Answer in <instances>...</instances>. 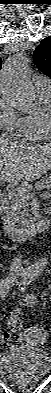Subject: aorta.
<instances>
[{
	"label": "aorta",
	"mask_w": 51,
	"mask_h": 393,
	"mask_svg": "<svg viewBox=\"0 0 51 393\" xmlns=\"http://www.w3.org/2000/svg\"><path fill=\"white\" fill-rule=\"evenodd\" d=\"M28 60L23 51L13 54L2 68L1 90L10 104L20 112H33L39 103L31 81L26 77ZM45 267L42 261L32 262L29 271L36 275Z\"/></svg>",
	"instance_id": "762f6f07"
}]
</instances>
